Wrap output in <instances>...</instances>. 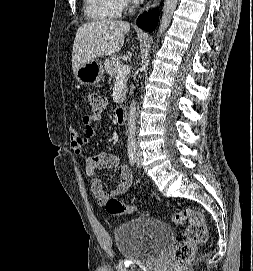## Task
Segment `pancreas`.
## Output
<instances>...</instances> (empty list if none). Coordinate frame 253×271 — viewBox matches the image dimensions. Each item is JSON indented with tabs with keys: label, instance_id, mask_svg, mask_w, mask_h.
Wrapping results in <instances>:
<instances>
[{
	"label": "pancreas",
	"instance_id": "1",
	"mask_svg": "<svg viewBox=\"0 0 253 271\" xmlns=\"http://www.w3.org/2000/svg\"><path fill=\"white\" fill-rule=\"evenodd\" d=\"M121 66H123V62H122V58L120 55L112 56L109 59H106L104 62V68H105L106 73L114 78L117 77V69ZM127 80H128V76H125L123 79L124 86H123V92H122V96H121V102H123L126 97V82H127Z\"/></svg>",
	"mask_w": 253,
	"mask_h": 271
}]
</instances>
